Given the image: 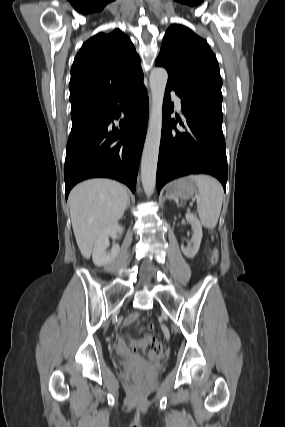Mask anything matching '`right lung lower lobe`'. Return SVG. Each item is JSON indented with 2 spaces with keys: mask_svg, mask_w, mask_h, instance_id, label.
Wrapping results in <instances>:
<instances>
[{
  "mask_svg": "<svg viewBox=\"0 0 285 427\" xmlns=\"http://www.w3.org/2000/svg\"><path fill=\"white\" fill-rule=\"evenodd\" d=\"M121 112L126 119L116 127L112 122ZM148 113L143 78L71 113L64 166L66 199L75 184L93 177L116 179L134 193Z\"/></svg>",
  "mask_w": 285,
  "mask_h": 427,
  "instance_id": "right-lung-lower-lobe-1",
  "label": "right lung lower lobe"
}]
</instances>
